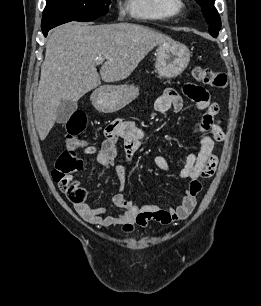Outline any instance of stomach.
Instances as JSON below:
<instances>
[{"label":"stomach","mask_w":261,"mask_h":306,"mask_svg":"<svg viewBox=\"0 0 261 306\" xmlns=\"http://www.w3.org/2000/svg\"><path fill=\"white\" fill-rule=\"evenodd\" d=\"M155 68L162 78L179 76L188 66L190 51L182 43L170 41L160 43L156 50ZM139 95V89L133 85L107 86L93 93V105L103 112L117 111Z\"/></svg>","instance_id":"stomach-1"}]
</instances>
